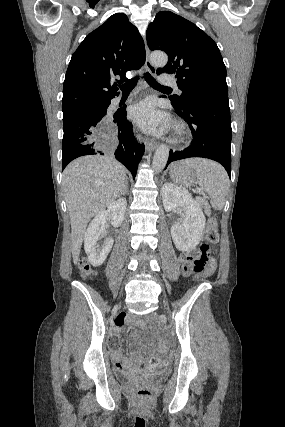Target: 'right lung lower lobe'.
Listing matches in <instances>:
<instances>
[{
	"instance_id": "98d812e1",
	"label": "right lung lower lobe",
	"mask_w": 285,
	"mask_h": 427,
	"mask_svg": "<svg viewBox=\"0 0 285 427\" xmlns=\"http://www.w3.org/2000/svg\"><path fill=\"white\" fill-rule=\"evenodd\" d=\"M110 101L76 108L63 115L62 170L73 159L84 155H104V134L114 124L117 141L115 158L136 175L144 146L137 144L132 124L127 121L125 111L107 116Z\"/></svg>"
}]
</instances>
